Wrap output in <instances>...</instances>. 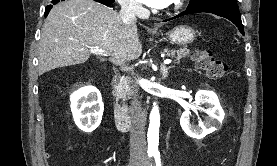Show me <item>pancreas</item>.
Here are the masks:
<instances>
[{
	"mask_svg": "<svg viewBox=\"0 0 277 166\" xmlns=\"http://www.w3.org/2000/svg\"><path fill=\"white\" fill-rule=\"evenodd\" d=\"M164 52L167 56L175 58L179 61L182 58L190 55V51L187 48H181L179 50H168L165 49ZM128 84L129 80L127 78H120L119 82H117V97L122 98L123 101L126 100V95L128 94Z\"/></svg>",
	"mask_w": 277,
	"mask_h": 166,
	"instance_id": "obj_1",
	"label": "pancreas"
}]
</instances>
